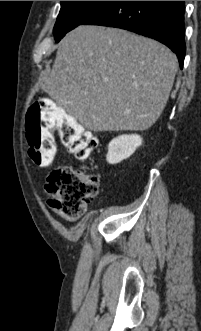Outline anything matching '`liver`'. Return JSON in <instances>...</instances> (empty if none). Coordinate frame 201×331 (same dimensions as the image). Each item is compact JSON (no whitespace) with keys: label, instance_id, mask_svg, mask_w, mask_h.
Wrapping results in <instances>:
<instances>
[{"label":"liver","instance_id":"6515ba94","mask_svg":"<svg viewBox=\"0 0 201 331\" xmlns=\"http://www.w3.org/2000/svg\"><path fill=\"white\" fill-rule=\"evenodd\" d=\"M178 69L163 44L80 25L61 41L43 90L92 131H143L159 118Z\"/></svg>","mask_w":201,"mask_h":331}]
</instances>
